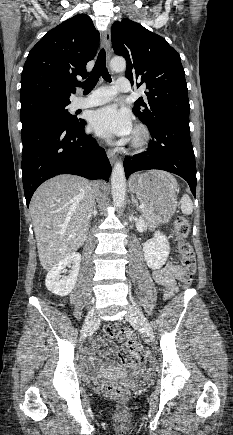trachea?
I'll return each instance as SVG.
<instances>
[{
  "label": "trachea",
  "instance_id": "3493384b",
  "mask_svg": "<svg viewBox=\"0 0 233 435\" xmlns=\"http://www.w3.org/2000/svg\"><path fill=\"white\" fill-rule=\"evenodd\" d=\"M100 75L103 77L105 81L107 82L112 81L111 76L106 68V54L104 49L100 50L96 63L94 65V68L92 69L89 78L84 82L76 83V85L84 89V94H88L97 84Z\"/></svg>",
  "mask_w": 233,
  "mask_h": 435
}]
</instances>
